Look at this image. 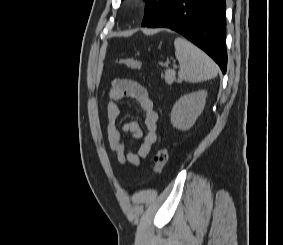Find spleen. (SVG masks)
Listing matches in <instances>:
<instances>
[{"label":"spleen","instance_id":"1","mask_svg":"<svg viewBox=\"0 0 283 245\" xmlns=\"http://www.w3.org/2000/svg\"><path fill=\"white\" fill-rule=\"evenodd\" d=\"M174 46L175 56L180 63L179 80L201 82L217 76L218 67L215 62L191 42L177 37Z\"/></svg>","mask_w":283,"mask_h":245}]
</instances>
